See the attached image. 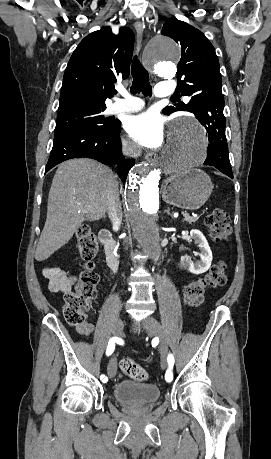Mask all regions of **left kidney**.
Returning <instances> with one entry per match:
<instances>
[{
    "mask_svg": "<svg viewBox=\"0 0 271 459\" xmlns=\"http://www.w3.org/2000/svg\"><path fill=\"white\" fill-rule=\"evenodd\" d=\"M190 237H193V239H196L199 243L198 247H200L201 251V253H199L200 259L199 261H192L187 255H182L181 265L189 269L191 273H204L211 265L212 251L205 235H203L202 231H199V229H191Z\"/></svg>",
    "mask_w": 271,
    "mask_h": 459,
    "instance_id": "left-kidney-1",
    "label": "left kidney"
}]
</instances>
